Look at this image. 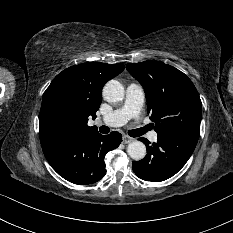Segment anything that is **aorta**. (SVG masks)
I'll use <instances>...</instances> for the list:
<instances>
[{"label":"aorta","instance_id":"obj_1","mask_svg":"<svg viewBox=\"0 0 233 233\" xmlns=\"http://www.w3.org/2000/svg\"><path fill=\"white\" fill-rule=\"evenodd\" d=\"M103 97L107 102H117L124 98V88L116 80L108 81L103 88ZM128 155L136 161L142 160L146 155V146L140 141H133L127 147Z\"/></svg>","mask_w":233,"mask_h":233}]
</instances>
